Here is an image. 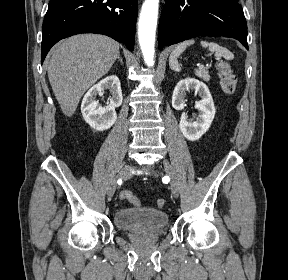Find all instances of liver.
<instances>
[{"label": "liver", "instance_id": "liver-1", "mask_svg": "<svg viewBox=\"0 0 288 280\" xmlns=\"http://www.w3.org/2000/svg\"><path fill=\"white\" fill-rule=\"evenodd\" d=\"M119 56V43L105 35L81 34L52 51L48 78L66 116H72L83 94L108 73Z\"/></svg>", "mask_w": 288, "mask_h": 280}]
</instances>
